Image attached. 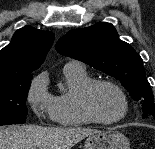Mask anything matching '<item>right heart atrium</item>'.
I'll return each instance as SVG.
<instances>
[{"label":"right heart atrium","mask_w":155,"mask_h":149,"mask_svg":"<svg viewBox=\"0 0 155 149\" xmlns=\"http://www.w3.org/2000/svg\"><path fill=\"white\" fill-rule=\"evenodd\" d=\"M27 102L39 119L53 120L54 96L48 90V76L45 72L32 80Z\"/></svg>","instance_id":"1"}]
</instances>
